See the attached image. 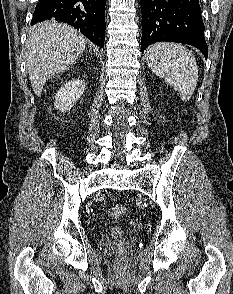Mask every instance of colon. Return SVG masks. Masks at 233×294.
Here are the masks:
<instances>
[{"mask_svg": "<svg viewBox=\"0 0 233 294\" xmlns=\"http://www.w3.org/2000/svg\"><path fill=\"white\" fill-rule=\"evenodd\" d=\"M127 211V208L123 204H115L109 209V214L112 218L117 219L122 217Z\"/></svg>", "mask_w": 233, "mask_h": 294, "instance_id": "obj_1", "label": "colon"}]
</instances>
